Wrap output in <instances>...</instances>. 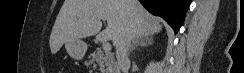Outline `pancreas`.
<instances>
[{
    "mask_svg": "<svg viewBox=\"0 0 244 73\" xmlns=\"http://www.w3.org/2000/svg\"><path fill=\"white\" fill-rule=\"evenodd\" d=\"M96 63H98L100 66L106 65L113 70V73H116L115 71L118 69L117 63L114 59V56L111 52H104L101 49H98L97 51L91 53L88 57L87 65H93L95 66Z\"/></svg>",
    "mask_w": 244,
    "mask_h": 73,
    "instance_id": "obj_1",
    "label": "pancreas"
}]
</instances>
